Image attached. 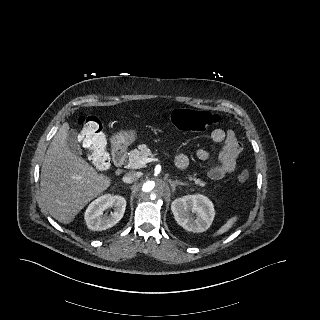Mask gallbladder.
Returning <instances> with one entry per match:
<instances>
[{
	"instance_id": "1",
	"label": "gallbladder",
	"mask_w": 320,
	"mask_h": 320,
	"mask_svg": "<svg viewBox=\"0 0 320 320\" xmlns=\"http://www.w3.org/2000/svg\"><path fill=\"white\" fill-rule=\"evenodd\" d=\"M77 135H78L77 131L74 129H71L68 132L66 143H67V146L69 147V149L73 153H75L76 155H81L82 150H81L79 143L77 142Z\"/></svg>"
}]
</instances>
